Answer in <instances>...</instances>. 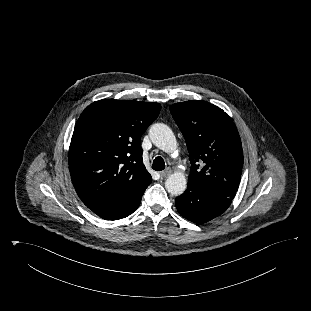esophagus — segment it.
I'll use <instances>...</instances> for the list:
<instances>
[{"label": "esophagus", "mask_w": 311, "mask_h": 311, "mask_svg": "<svg viewBox=\"0 0 311 311\" xmlns=\"http://www.w3.org/2000/svg\"><path fill=\"white\" fill-rule=\"evenodd\" d=\"M171 174V169L167 168L164 171L160 172V176L162 178H166Z\"/></svg>", "instance_id": "obj_1"}]
</instances>
